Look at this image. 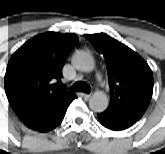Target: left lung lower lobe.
Instances as JSON below:
<instances>
[{"mask_svg":"<svg viewBox=\"0 0 165 154\" xmlns=\"http://www.w3.org/2000/svg\"><path fill=\"white\" fill-rule=\"evenodd\" d=\"M97 116L100 123L111 130H124L136 123V120L115 117L106 112L99 113Z\"/></svg>","mask_w":165,"mask_h":154,"instance_id":"0a47b994","label":"left lung lower lobe"}]
</instances>
